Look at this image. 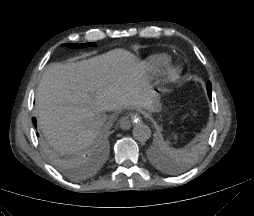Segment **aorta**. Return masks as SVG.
Here are the masks:
<instances>
[{"label": "aorta", "mask_w": 254, "mask_h": 216, "mask_svg": "<svg viewBox=\"0 0 254 216\" xmlns=\"http://www.w3.org/2000/svg\"><path fill=\"white\" fill-rule=\"evenodd\" d=\"M132 133L134 138L140 142H145L151 137L150 127L143 123L135 124Z\"/></svg>", "instance_id": "obj_1"}]
</instances>
